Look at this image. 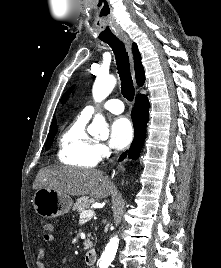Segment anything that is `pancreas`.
I'll return each mask as SVG.
<instances>
[{"label":"pancreas","instance_id":"obj_1","mask_svg":"<svg viewBox=\"0 0 221 268\" xmlns=\"http://www.w3.org/2000/svg\"><path fill=\"white\" fill-rule=\"evenodd\" d=\"M93 203V198H90L88 196L80 197L76 200V203L73 206V211L81 213L85 209L90 208ZM85 245H87V248L92 247V243L89 240L85 241Z\"/></svg>","mask_w":221,"mask_h":268}]
</instances>
